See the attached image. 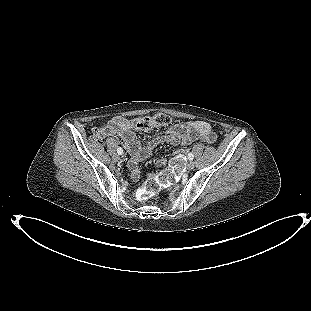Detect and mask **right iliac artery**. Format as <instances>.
Returning a JSON list of instances; mask_svg holds the SVG:
<instances>
[{
    "mask_svg": "<svg viewBox=\"0 0 311 311\" xmlns=\"http://www.w3.org/2000/svg\"><path fill=\"white\" fill-rule=\"evenodd\" d=\"M117 152H118V154H122V153H123L122 148H121V147H119V148L117 149Z\"/></svg>",
    "mask_w": 311,
    "mask_h": 311,
    "instance_id": "1",
    "label": "right iliac artery"
}]
</instances>
